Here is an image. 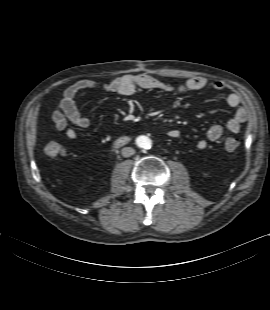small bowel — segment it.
<instances>
[{
    "label": "small bowel",
    "mask_w": 270,
    "mask_h": 310,
    "mask_svg": "<svg viewBox=\"0 0 270 310\" xmlns=\"http://www.w3.org/2000/svg\"><path fill=\"white\" fill-rule=\"evenodd\" d=\"M206 85L207 80L203 77H193L181 85L174 86L145 73L125 74L104 82L88 79L80 80L65 91L57 108L53 112V122L57 130L64 131L65 137L74 140L78 136L75 127L85 129L90 125L89 118L82 115L79 110V102L88 91L116 92L122 96H130L138 88L184 93L201 90L205 88ZM212 86L219 92L226 90L225 84L220 81L214 82ZM226 102L231 108L235 109L233 117L225 126L220 124L211 126L206 133V138L197 142V147L199 149H204L208 141H217L220 139L224 131L232 134L238 133L241 129V125L247 120L248 112L241 105V98L237 93H229L226 97ZM68 122L74 127L68 126ZM168 135L175 139L180 136V132L177 129H171Z\"/></svg>",
    "instance_id": "c3829d8e"
}]
</instances>
